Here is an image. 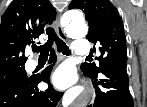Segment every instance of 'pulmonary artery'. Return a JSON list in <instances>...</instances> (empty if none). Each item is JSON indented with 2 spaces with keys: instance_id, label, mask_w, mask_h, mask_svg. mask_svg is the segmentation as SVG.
<instances>
[{
  "instance_id": "1",
  "label": "pulmonary artery",
  "mask_w": 147,
  "mask_h": 107,
  "mask_svg": "<svg viewBox=\"0 0 147 107\" xmlns=\"http://www.w3.org/2000/svg\"><path fill=\"white\" fill-rule=\"evenodd\" d=\"M73 53L78 55H87L90 52L91 46L85 40H75L72 46ZM36 67V62L34 60L28 61V68L33 69Z\"/></svg>"
}]
</instances>
